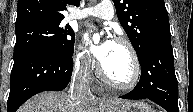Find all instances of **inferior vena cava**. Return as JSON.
I'll list each match as a JSON object with an SVG mask.
<instances>
[{"label": "inferior vena cava", "mask_w": 193, "mask_h": 112, "mask_svg": "<svg viewBox=\"0 0 193 112\" xmlns=\"http://www.w3.org/2000/svg\"><path fill=\"white\" fill-rule=\"evenodd\" d=\"M89 66L87 63L82 62L77 65L72 78L70 96L73 99L79 98L86 94H91L89 86Z\"/></svg>", "instance_id": "1"}]
</instances>
